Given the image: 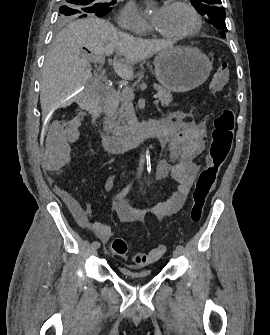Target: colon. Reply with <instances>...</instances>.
<instances>
[{"label":"colon","mask_w":270,"mask_h":335,"mask_svg":"<svg viewBox=\"0 0 270 335\" xmlns=\"http://www.w3.org/2000/svg\"><path fill=\"white\" fill-rule=\"evenodd\" d=\"M229 80V63L227 61L217 68L210 83L212 93L217 94L223 90ZM235 113L232 108H223L213 120L212 142L209 149V162L201 170L196 180L192 193V203L189 219L193 223L201 221L207 198L215 187L220 167L226 162L233 144V129ZM113 252L120 257H125L128 252L127 242L124 238H114L111 243ZM166 248L156 246L147 252L132 256L135 267L146 266L158 261L164 256Z\"/></svg>","instance_id":"obj_1"}]
</instances>
